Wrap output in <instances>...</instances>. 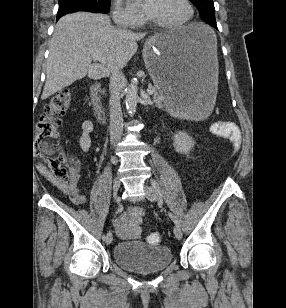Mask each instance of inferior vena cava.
<instances>
[{
    "label": "inferior vena cava",
    "mask_w": 286,
    "mask_h": 308,
    "mask_svg": "<svg viewBox=\"0 0 286 308\" xmlns=\"http://www.w3.org/2000/svg\"><path fill=\"white\" fill-rule=\"evenodd\" d=\"M125 77L120 68H115L110 77V141L115 145L122 137L123 116L120 104V94Z\"/></svg>",
    "instance_id": "1"
}]
</instances>
